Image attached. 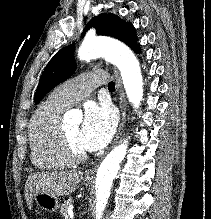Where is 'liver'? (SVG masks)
Here are the masks:
<instances>
[{
  "label": "liver",
  "instance_id": "1",
  "mask_svg": "<svg viewBox=\"0 0 211 219\" xmlns=\"http://www.w3.org/2000/svg\"><path fill=\"white\" fill-rule=\"evenodd\" d=\"M82 179L83 173L76 170L30 174L25 185L27 204L31 207L33 197L38 193L69 195L75 191Z\"/></svg>",
  "mask_w": 211,
  "mask_h": 219
}]
</instances>
